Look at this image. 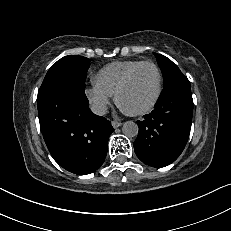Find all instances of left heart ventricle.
I'll use <instances>...</instances> for the list:
<instances>
[{
    "instance_id": "obj_1",
    "label": "left heart ventricle",
    "mask_w": 231,
    "mask_h": 231,
    "mask_svg": "<svg viewBox=\"0 0 231 231\" xmlns=\"http://www.w3.org/2000/svg\"><path fill=\"white\" fill-rule=\"evenodd\" d=\"M157 89V75L150 66L140 68L129 86L120 96V105L127 111H137L147 106Z\"/></svg>"
}]
</instances>
